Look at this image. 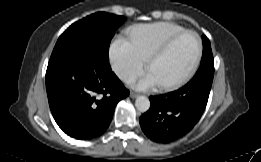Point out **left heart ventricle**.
Returning <instances> with one entry per match:
<instances>
[{"label":"left heart ventricle","mask_w":261,"mask_h":162,"mask_svg":"<svg viewBox=\"0 0 261 162\" xmlns=\"http://www.w3.org/2000/svg\"><path fill=\"white\" fill-rule=\"evenodd\" d=\"M197 53V39L192 34L179 38L171 48L156 59L148 69L159 82L166 84L183 76L191 67Z\"/></svg>","instance_id":"obj_1"}]
</instances>
